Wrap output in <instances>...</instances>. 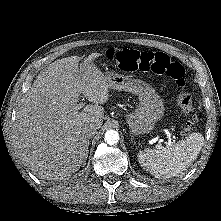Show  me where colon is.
I'll list each match as a JSON object with an SVG mask.
<instances>
[{
    "label": "colon",
    "mask_w": 221,
    "mask_h": 221,
    "mask_svg": "<svg viewBox=\"0 0 221 221\" xmlns=\"http://www.w3.org/2000/svg\"><path fill=\"white\" fill-rule=\"evenodd\" d=\"M106 56L124 71L152 72L173 79L178 87L177 101L186 117L185 132L197 128L191 94L185 89L184 67L162 52H140L133 49L110 48Z\"/></svg>",
    "instance_id": "1"
}]
</instances>
